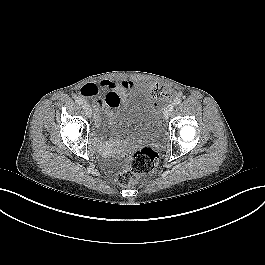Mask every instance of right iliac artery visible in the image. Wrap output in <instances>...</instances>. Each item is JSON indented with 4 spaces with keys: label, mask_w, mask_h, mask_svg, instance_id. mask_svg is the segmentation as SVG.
<instances>
[{
    "label": "right iliac artery",
    "mask_w": 265,
    "mask_h": 265,
    "mask_svg": "<svg viewBox=\"0 0 265 265\" xmlns=\"http://www.w3.org/2000/svg\"><path fill=\"white\" fill-rule=\"evenodd\" d=\"M75 101H76V103H78L79 105H81V104L84 103V100H83L82 98H80V97H77Z\"/></svg>",
    "instance_id": "82829eb1"
}]
</instances>
